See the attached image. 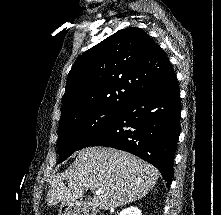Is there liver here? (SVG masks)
Here are the masks:
<instances>
[{
    "instance_id": "liver-1",
    "label": "liver",
    "mask_w": 221,
    "mask_h": 215,
    "mask_svg": "<svg viewBox=\"0 0 221 215\" xmlns=\"http://www.w3.org/2000/svg\"><path fill=\"white\" fill-rule=\"evenodd\" d=\"M159 177L158 170L142 159L121 150L88 147L76 160L50 182L48 206L73 203L92 190V206L108 210L125 206L146 196ZM68 182V186L63 181ZM102 189L97 194L96 190Z\"/></svg>"
}]
</instances>
